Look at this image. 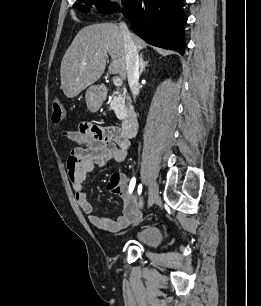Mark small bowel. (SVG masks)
Wrapping results in <instances>:
<instances>
[{
	"instance_id": "obj_1",
	"label": "small bowel",
	"mask_w": 261,
	"mask_h": 306,
	"mask_svg": "<svg viewBox=\"0 0 261 306\" xmlns=\"http://www.w3.org/2000/svg\"><path fill=\"white\" fill-rule=\"evenodd\" d=\"M64 135L74 143L67 159V173L71 181L75 199L81 210L88 216L90 223L97 229L116 234L127 228L140 217L142 201L130 191V178L124 174L119 175L118 181L112 176L108 189L118 194L124 202L123 213L115 220L94 214L93 204L89 201L85 180L87 174L98 165L110 162H123L127 157L129 139L121 130L113 126L98 124H81L76 131H66Z\"/></svg>"
}]
</instances>
